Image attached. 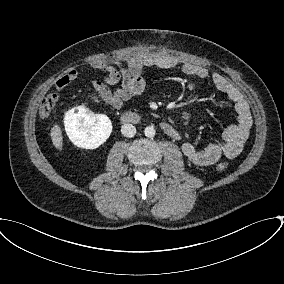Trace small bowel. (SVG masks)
<instances>
[{
    "label": "small bowel",
    "mask_w": 284,
    "mask_h": 284,
    "mask_svg": "<svg viewBox=\"0 0 284 284\" xmlns=\"http://www.w3.org/2000/svg\"><path fill=\"white\" fill-rule=\"evenodd\" d=\"M179 65L176 57L169 54H139L130 57L125 66L118 64L119 69L114 65L93 61L90 68L104 72L102 81L92 83V89L110 106L118 108L123 101L141 94L145 89V80L142 76L144 68L157 67L161 69H172ZM182 71L188 76L210 80L211 84L218 91L224 93L232 102L237 116L236 123L229 125L222 133V139L210 143L203 149L198 148L191 142H184L181 146L184 156L193 164L208 166L216 163L222 157H237L249 137L253 123L250 108L244 100L237 87L225 76L218 73H210L206 68L194 63H184ZM78 75L73 69L60 77L55 87L58 90L64 89ZM121 83L115 90L111 87ZM176 138H179L177 136Z\"/></svg>",
    "instance_id": "1"
}]
</instances>
